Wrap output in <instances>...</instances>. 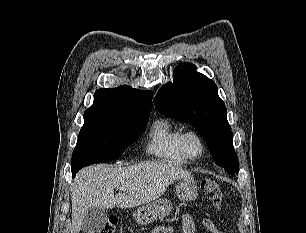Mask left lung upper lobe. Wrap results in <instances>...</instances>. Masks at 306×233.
<instances>
[{
	"label": "left lung upper lobe",
	"instance_id": "5c2ea615",
	"mask_svg": "<svg viewBox=\"0 0 306 233\" xmlns=\"http://www.w3.org/2000/svg\"><path fill=\"white\" fill-rule=\"evenodd\" d=\"M195 70L191 63L179 64L174 70L173 83L160 88L154 104L161 114L191 123L206 141L215 163L230 174H238V158L225 104L214 81Z\"/></svg>",
	"mask_w": 306,
	"mask_h": 233
}]
</instances>
